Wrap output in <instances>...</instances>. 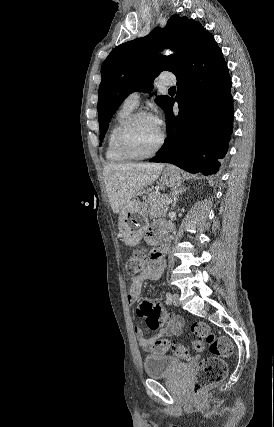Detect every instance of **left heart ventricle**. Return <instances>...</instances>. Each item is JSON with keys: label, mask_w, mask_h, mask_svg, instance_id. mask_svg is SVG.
Instances as JSON below:
<instances>
[{"label": "left heart ventricle", "mask_w": 274, "mask_h": 427, "mask_svg": "<svg viewBox=\"0 0 274 427\" xmlns=\"http://www.w3.org/2000/svg\"><path fill=\"white\" fill-rule=\"evenodd\" d=\"M161 134L162 129L156 126L152 117H143L129 130L127 145L135 154L146 155L156 148Z\"/></svg>", "instance_id": "1"}]
</instances>
